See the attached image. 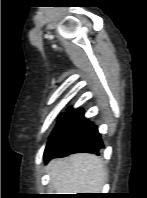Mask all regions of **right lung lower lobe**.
Segmentation results:
<instances>
[{
	"label": "right lung lower lobe",
	"mask_w": 147,
	"mask_h": 198,
	"mask_svg": "<svg viewBox=\"0 0 147 198\" xmlns=\"http://www.w3.org/2000/svg\"><path fill=\"white\" fill-rule=\"evenodd\" d=\"M101 148L104 146L97 127L84 118L82 109H76L50 137L44 159L47 161L79 152L96 154Z\"/></svg>",
	"instance_id": "1"
}]
</instances>
